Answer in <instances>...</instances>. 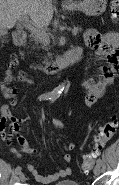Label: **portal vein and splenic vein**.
Masks as SVG:
<instances>
[{"label": "portal vein and splenic vein", "mask_w": 119, "mask_h": 185, "mask_svg": "<svg viewBox=\"0 0 119 185\" xmlns=\"http://www.w3.org/2000/svg\"><path fill=\"white\" fill-rule=\"evenodd\" d=\"M23 20H24V26L26 28H28L29 30H31V32L34 33L36 35V37L39 38L44 44H49L50 43L49 36L47 35L46 32L33 27L30 24L29 19H28L27 16H24Z\"/></svg>", "instance_id": "18ae733b"}]
</instances>
